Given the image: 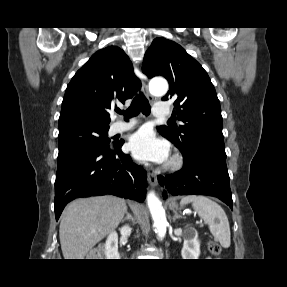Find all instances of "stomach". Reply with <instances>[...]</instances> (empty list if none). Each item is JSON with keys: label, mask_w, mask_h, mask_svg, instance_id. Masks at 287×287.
Here are the masks:
<instances>
[{"label": "stomach", "mask_w": 287, "mask_h": 287, "mask_svg": "<svg viewBox=\"0 0 287 287\" xmlns=\"http://www.w3.org/2000/svg\"><path fill=\"white\" fill-rule=\"evenodd\" d=\"M171 208L175 209L177 208V204L175 202H173L171 205H170Z\"/></svg>", "instance_id": "0dacf381"}]
</instances>
